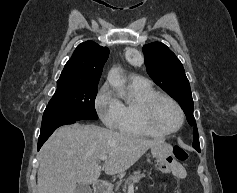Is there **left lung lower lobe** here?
<instances>
[{
	"label": "left lung lower lobe",
	"mask_w": 237,
	"mask_h": 193,
	"mask_svg": "<svg viewBox=\"0 0 237 193\" xmlns=\"http://www.w3.org/2000/svg\"><path fill=\"white\" fill-rule=\"evenodd\" d=\"M195 149L200 152V149H199V148H195Z\"/></svg>",
	"instance_id": "obj_1"
}]
</instances>
